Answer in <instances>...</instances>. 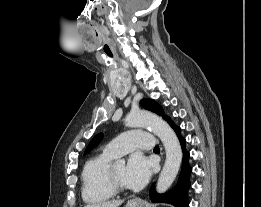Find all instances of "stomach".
<instances>
[{
    "label": "stomach",
    "instance_id": "1",
    "mask_svg": "<svg viewBox=\"0 0 261 207\" xmlns=\"http://www.w3.org/2000/svg\"><path fill=\"white\" fill-rule=\"evenodd\" d=\"M125 207H151L148 203L138 200H130Z\"/></svg>",
    "mask_w": 261,
    "mask_h": 207
}]
</instances>
